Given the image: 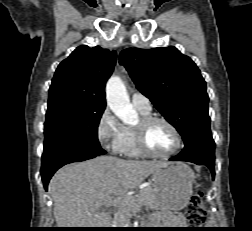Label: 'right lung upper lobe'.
Here are the masks:
<instances>
[{"instance_id":"cb5924a9","label":"right lung upper lobe","mask_w":252,"mask_h":231,"mask_svg":"<svg viewBox=\"0 0 252 231\" xmlns=\"http://www.w3.org/2000/svg\"><path fill=\"white\" fill-rule=\"evenodd\" d=\"M115 62V51L100 46L77 47L59 64L49 89V100L68 98L89 105L105 106V84Z\"/></svg>"}]
</instances>
